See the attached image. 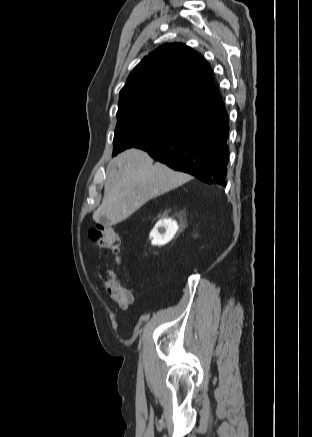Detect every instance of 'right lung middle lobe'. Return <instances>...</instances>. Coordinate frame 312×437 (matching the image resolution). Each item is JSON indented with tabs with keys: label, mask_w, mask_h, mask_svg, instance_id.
I'll use <instances>...</instances> for the list:
<instances>
[{
	"label": "right lung middle lobe",
	"mask_w": 312,
	"mask_h": 437,
	"mask_svg": "<svg viewBox=\"0 0 312 437\" xmlns=\"http://www.w3.org/2000/svg\"><path fill=\"white\" fill-rule=\"evenodd\" d=\"M196 112L165 103H145L121 108L113 140V156L131 147L157 142L184 127Z\"/></svg>",
	"instance_id": "dd1d6c3e"
}]
</instances>
